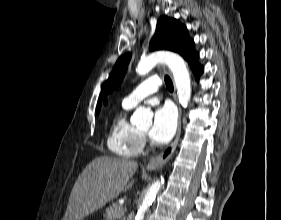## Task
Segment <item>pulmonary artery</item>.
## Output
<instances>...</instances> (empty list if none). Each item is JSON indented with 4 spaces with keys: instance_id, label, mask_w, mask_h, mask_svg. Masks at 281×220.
<instances>
[{
    "instance_id": "obj_1",
    "label": "pulmonary artery",
    "mask_w": 281,
    "mask_h": 220,
    "mask_svg": "<svg viewBox=\"0 0 281 220\" xmlns=\"http://www.w3.org/2000/svg\"><path fill=\"white\" fill-rule=\"evenodd\" d=\"M162 82L158 76H152L144 80L135 87L123 100V102L131 107L138 105L147 97L156 93Z\"/></svg>"
}]
</instances>
